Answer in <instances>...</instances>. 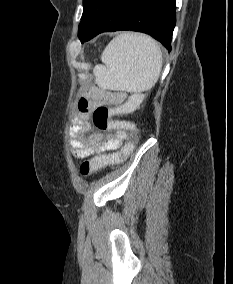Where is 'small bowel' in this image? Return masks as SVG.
I'll return each instance as SVG.
<instances>
[{
    "label": "small bowel",
    "mask_w": 233,
    "mask_h": 284,
    "mask_svg": "<svg viewBox=\"0 0 233 284\" xmlns=\"http://www.w3.org/2000/svg\"><path fill=\"white\" fill-rule=\"evenodd\" d=\"M122 92L107 91L99 88L87 89L78 101V109L71 128V150L74 157L85 159L105 152L117 150L127 136L125 128L110 130L103 137L99 132H90V114L98 106L119 107L125 100ZM133 126L131 122H123Z\"/></svg>",
    "instance_id": "obj_1"
}]
</instances>
